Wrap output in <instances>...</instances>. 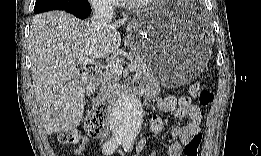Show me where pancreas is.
I'll return each mask as SVG.
<instances>
[{"instance_id":"pancreas-1","label":"pancreas","mask_w":261,"mask_h":156,"mask_svg":"<svg viewBox=\"0 0 261 156\" xmlns=\"http://www.w3.org/2000/svg\"><path fill=\"white\" fill-rule=\"evenodd\" d=\"M130 55V62L137 66L136 71L143 74H150L151 70L147 62L141 57L140 53L133 51ZM124 59L117 57L113 63H123ZM119 75L106 70L100 75L99 83L101 85L97 100L104 101L108 97L114 96L119 90Z\"/></svg>"}]
</instances>
